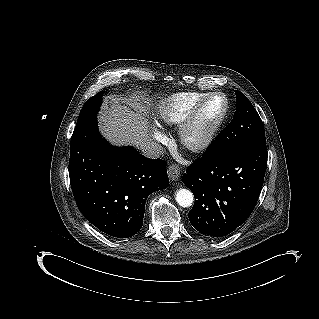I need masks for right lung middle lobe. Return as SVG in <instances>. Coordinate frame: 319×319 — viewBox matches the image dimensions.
<instances>
[{
    "label": "right lung middle lobe",
    "instance_id": "obj_1",
    "mask_svg": "<svg viewBox=\"0 0 319 319\" xmlns=\"http://www.w3.org/2000/svg\"><path fill=\"white\" fill-rule=\"evenodd\" d=\"M103 93H105V91L98 92L95 96L91 97L89 100L86 101L79 114L77 124H80L86 121L87 119L91 118L92 116L96 115L101 105Z\"/></svg>",
    "mask_w": 319,
    "mask_h": 319
}]
</instances>
